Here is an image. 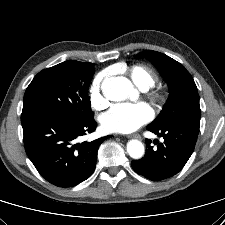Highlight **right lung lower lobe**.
Masks as SVG:
<instances>
[{"instance_id":"98d812e1","label":"right lung lower lobe","mask_w":225,"mask_h":225,"mask_svg":"<svg viewBox=\"0 0 225 225\" xmlns=\"http://www.w3.org/2000/svg\"><path fill=\"white\" fill-rule=\"evenodd\" d=\"M21 123L26 153L38 172L58 187H73L94 172L97 151L106 137L77 143L80 136L94 132V119L75 121L43 109L22 111Z\"/></svg>"}]
</instances>
